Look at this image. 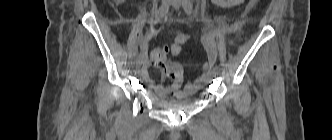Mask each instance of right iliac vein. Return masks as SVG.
I'll return each mask as SVG.
<instances>
[{"label": "right iliac vein", "instance_id": "63e3f726", "mask_svg": "<svg viewBox=\"0 0 332 140\" xmlns=\"http://www.w3.org/2000/svg\"><path fill=\"white\" fill-rule=\"evenodd\" d=\"M170 0H162V4H166V3H169ZM143 60H144V57L139 55L135 61V67L138 69L141 64L143 63Z\"/></svg>", "mask_w": 332, "mask_h": 140}]
</instances>
